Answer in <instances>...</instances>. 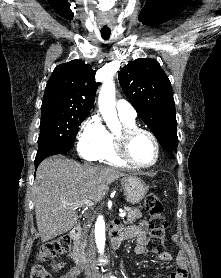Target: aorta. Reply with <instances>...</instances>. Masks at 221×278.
I'll return each instance as SVG.
<instances>
[{"instance_id": "aorta-1", "label": "aorta", "mask_w": 221, "mask_h": 278, "mask_svg": "<svg viewBox=\"0 0 221 278\" xmlns=\"http://www.w3.org/2000/svg\"><path fill=\"white\" fill-rule=\"evenodd\" d=\"M99 111L109 127L117 121L115 107V84L112 78H108L102 84L98 97ZM95 241L100 254L105 249V221L103 216H99L95 223Z\"/></svg>"}]
</instances>
